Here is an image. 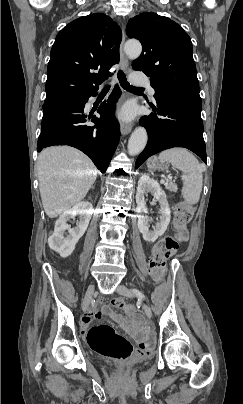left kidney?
<instances>
[{
	"label": "left kidney",
	"instance_id": "left-kidney-1",
	"mask_svg": "<svg viewBox=\"0 0 243 404\" xmlns=\"http://www.w3.org/2000/svg\"><path fill=\"white\" fill-rule=\"evenodd\" d=\"M149 192H151L154 198L158 200L160 204L159 212L161 214L160 220L152 232L149 230V220L146 216V214H148V208L145 206V196L146 194H149ZM136 204L138 230L141 232L145 242L153 244V242H156L158 236H163V234H165L167 226H169L171 212L167 202V196L164 190H161L158 182H155L153 178H149V176H141L140 180H138Z\"/></svg>",
	"mask_w": 243,
	"mask_h": 404
}]
</instances>
